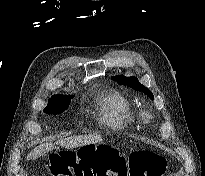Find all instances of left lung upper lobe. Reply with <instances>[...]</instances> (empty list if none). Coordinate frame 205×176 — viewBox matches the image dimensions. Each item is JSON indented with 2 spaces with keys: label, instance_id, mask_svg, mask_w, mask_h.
<instances>
[{
  "label": "left lung upper lobe",
  "instance_id": "obj_1",
  "mask_svg": "<svg viewBox=\"0 0 205 176\" xmlns=\"http://www.w3.org/2000/svg\"><path fill=\"white\" fill-rule=\"evenodd\" d=\"M115 80L120 82L121 84L127 85L129 87H132L133 89L137 91H142L144 92L147 96H149L151 99H153V94L152 92L147 89L144 85H142L138 79L134 76L132 77H124L123 75H117L113 77Z\"/></svg>",
  "mask_w": 205,
  "mask_h": 176
}]
</instances>
